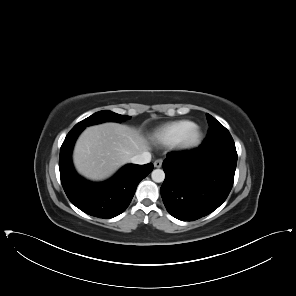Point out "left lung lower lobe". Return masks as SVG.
Here are the masks:
<instances>
[{
	"label": "left lung lower lobe",
	"instance_id": "left-lung-lower-lobe-1",
	"mask_svg": "<svg viewBox=\"0 0 296 296\" xmlns=\"http://www.w3.org/2000/svg\"><path fill=\"white\" fill-rule=\"evenodd\" d=\"M236 149L206 152L198 149L168 154L162 164L165 180L161 196L167 211L182 221H193L217 209L234 181Z\"/></svg>",
	"mask_w": 296,
	"mask_h": 296
}]
</instances>
